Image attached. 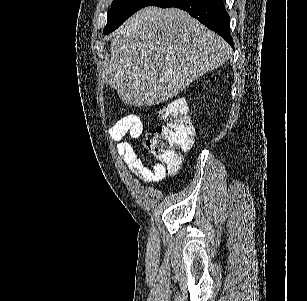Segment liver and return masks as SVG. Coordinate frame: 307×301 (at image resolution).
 Masks as SVG:
<instances>
[{
  "label": "liver",
  "mask_w": 307,
  "mask_h": 301,
  "mask_svg": "<svg viewBox=\"0 0 307 301\" xmlns=\"http://www.w3.org/2000/svg\"><path fill=\"white\" fill-rule=\"evenodd\" d=\"M111 36L103 82L133 106H153L227 62L232 48L180 8L145 6Z\"/></svg>",
  "instance_id": "1"
}]
</instances>
